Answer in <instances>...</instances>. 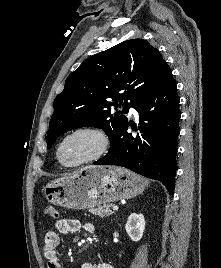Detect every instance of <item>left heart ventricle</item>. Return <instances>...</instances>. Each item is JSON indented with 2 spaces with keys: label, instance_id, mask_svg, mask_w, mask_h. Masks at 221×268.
<instances>
[{
  "label": "left heart ventricle",
  "instance_id": "b2bd125f",
  "mask_svg": "<svg viewBox=\"0 0 221 268\" xmlns=\"http://www.w3.org/2000/svg\"><path fill=\"white\" fill-rule=\"evenodd\" d=\"M96 139L89 134L76 135L65 142L60 151L61 159L73 163L90 154L96 147Z\"/></svg>",
  "mask_w": 221,
  "mask_h": 268
}]
</instances>
